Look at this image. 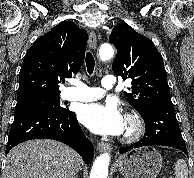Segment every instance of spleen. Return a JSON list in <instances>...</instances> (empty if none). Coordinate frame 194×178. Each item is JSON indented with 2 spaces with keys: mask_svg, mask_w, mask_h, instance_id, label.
Wrapping results in <instances>:
<instances>
[{
  "mask_svg": "<svg viewBox=\"0 0 194 178\" xmlns=\"http://www.w3.org/2000/svg\"><path fill=\"white\" fill-rule=\"evenodd\" d=\"M175 178H188V167L183 159H178L175 164Z\"/></svg>",
  "mask_w": 194,
  "mask_h": 178,
  "instance_id": "1",
  "label": "spleen"
}]
</instances>
